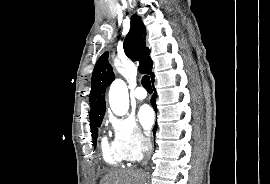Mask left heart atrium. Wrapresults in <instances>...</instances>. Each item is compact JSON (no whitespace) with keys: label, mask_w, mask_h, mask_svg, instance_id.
<instances>
[{"label":"left heart atrium","mask_w":270,"mask_h":184,"mask_svg":"<svg viewBox=\"0 0 270 184\" xmlns=\"http://www.w3.org/2000/svg\"><path fill=\"white\" fill-rule=\"evenodd\" d=\"M138 119L142 127L148 130L152 126L154 120L152 109L148 105L141 106L138 112Z\"/></svg>","instance_id":"left-heart-atrium-1"}]
</instances>
